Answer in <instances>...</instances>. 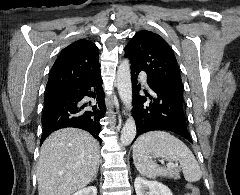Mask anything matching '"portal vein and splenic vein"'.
<instances>
[{"mask_svg":"<svg viewBox=\"0 0 240 195\" xmlns=\"http://www.w3.org/2000/svg\"><path fill=\"white\" fill-rule=\"evenodd\" d=\"M159 161H161V163H165L164 159H159ZM168 165H171V163H168ZM175 165H177V163H175Z\"/></svg>","mask_w":240,"mask_h":195,"instance_id":"18ae733b","label":"portal vein and splenic vein"}]
</instances>
